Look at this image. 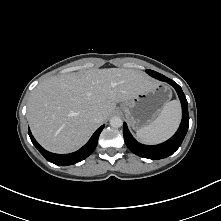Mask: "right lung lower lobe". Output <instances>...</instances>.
Here are the masks:
<instances>
[{"instance_id":"1","label":"right lung lower lobe","mask_w":221,"mask_h":221,"mask_svg":"<svg viewBox=\"0 0 221 221\" xmlns=\"http://www.w3.org/2000/svg\"><path fill=\"white\" fill-rule=\"evenodd\" d=\"M103 128H104V125H102L100 128H98L94 132L90 140L82 148L70 154H55V153L48 152L37 143V141L31 134L30 130H29V136L34 146L45 157L46 160L56 165L68 166V165L76 164L84 160L86 157H88L89 155L93 153V151L95 150L97 146L98 138Z\"/></svg>"}]
</instances>
